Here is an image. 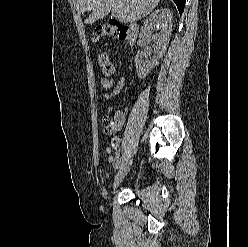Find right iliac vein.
<instances>
[{
    "mask_svg": "<svg viewBox=\"0 0 248 247\" xmlns=\"http://www.w3.org/2000/svg\"><path fill=\"white\" fill-rule=\"evenodd\" d=\"M132 162H133V158L131 156L128 157L126 159L124 165L120 169V171L117 173L115 180H114V183H113V192H115V190L119 187V185L121 184L124 177L129 172L130 166L132 165Z\"/></svg>",
    "mask_w": 248,
    "mask_h": 247,
    "instance_id": "1",
    "label": "right iliac vein"
}]
</instances>
